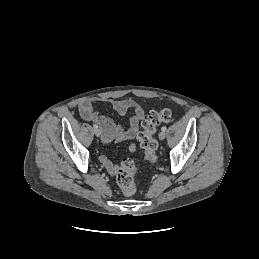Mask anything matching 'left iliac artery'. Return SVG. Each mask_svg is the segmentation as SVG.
I'll use <instances>...</instances> for the list:
<instances>
[{"instance_id": "obj_1", "label": "left iliac artery", "mask_w": 259, "mask_h": 259, "mask_svg": "<svg viewBox=\"0 0 259 259\" xmlns=\"http://www.w3.org/2000/svg\"><path fill=\"white\" fill-rule=\"evenodd\" d=\"M166 129H167L166 126H163V127L161 128L162 131H166Z\"/></svg>"}]
</instances>
